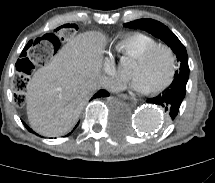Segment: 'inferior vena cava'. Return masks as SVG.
Instances as JSON below:
<instances>
[{
    "label": "inferior vena cava",
    "instance_id": "inferior-vena-cava-1",
    "mask_svg": "<svg viewBox=\"0 0 215 183\" xmlns=\"http://www.w3.org/2000/svg\"><path fill=\"white\" fill-rule=\"evenodd\" d=\"M111 85V81L108 77H100L97 82L94 84V88H100L101 86L104 88H109Z\"/></svg>",
    "mask_w": 215,
    "mask_h": 183
}]
</instances>
